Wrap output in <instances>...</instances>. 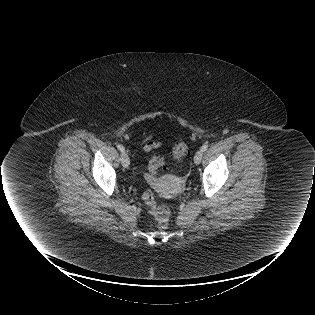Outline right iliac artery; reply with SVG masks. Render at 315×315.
<instances>
[{
  "mask_svg": "<svg viewBox=\"0 0 315 315\" xmlns=\"http://www.w3.org/2000/svg\"><path fill=\"white\" fill-rule=\"evenodd\" d=\"M117 148H118L121 152H123V151L125 150L124 147H123L122 145H120V144L117 145Z\"/></svg>",
  "mask_w": 315,
  "mask_h": 315,
  "instance_id": "82829eb1",
  "label": "right iliac artery"
}]
</instances>
